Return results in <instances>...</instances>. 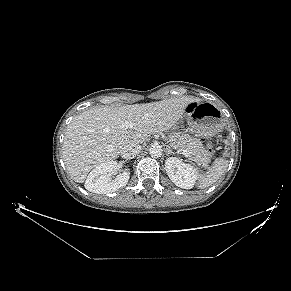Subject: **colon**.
I'll use <instances>...</instances> for the list:
<instances>
[{
	"instance_id": "obj_1",
	"label": "colon",
	"mask_w": 291,
	"mask_h": 291,
	"mask_svg": "<svg viewBox=\"0 0 291 291\" xmlns=\"http://www.w3.org/2000/svg\"><path fill=\"white\" fill-rule=\"evenodd\" d=\"M206 151L208 154H212L213 153V146L212 144L208 143L206 146Z\"/></svg>"
}]
</instances>
